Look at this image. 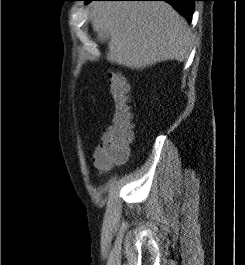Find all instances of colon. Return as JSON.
<instances>
[{
	"mask_svg": "<svg viewBox=\"0 0 245 265\" xmlns=\"http://www.w3.org/2000/svg\"><path fill=\"white\" fill-rule=\"evenodd\" d=\"M108 85L114 103L112 120L95 150L97 164L105 169L125 162L129 155V145L133 141L129 85L117 71L109 73Z\"/></svg>",
	"mask_w": 245,
	"mask_h": 265,
	"instance_id": "5ec220e1",
	"label": "colon"
}]
</instances>
